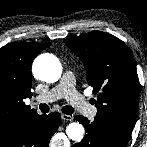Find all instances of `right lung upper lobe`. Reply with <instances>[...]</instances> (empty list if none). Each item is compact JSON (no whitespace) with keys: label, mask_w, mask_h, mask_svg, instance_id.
Masks as SVG:
<instances>
[{"label":"right lung upper lobe","mask_w":147,"mask_h":147,"mask_svg":"<svg viewBox=\"0 0 147 147\" xmlns=\"http://www.w3.org/2000/svg\"><path fill=\"white\" fill-rule=\"evenodd\" d=\"M51 43L15 42L0 48V138L39 115L25 105L31 98V65Z\"/></svg>","instance_id":"1"}]
</instances>
